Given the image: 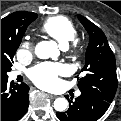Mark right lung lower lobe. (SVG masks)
<instances>
[{"instance_id":"98d812e1","label":"right lung lower lobe","mask_w":121,"mask_h":121,"mask_svg":"<svg viewBox=\"0 0 121 121\" xmlns=\"http://www.w3.org/2000/svg\"><path fill=\"white\" fill-rule=\"evenodd\" d=\"M29 87L22 83H8V78L1 79V121H17L27 112Z\"/></svg>"}]
</instances>
